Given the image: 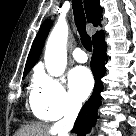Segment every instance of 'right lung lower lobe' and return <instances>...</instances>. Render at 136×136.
<instances>
[{
    "label": "right lung lower lobe",
    "instance_id": "98d812e1",
    "mask_svg": "<svg viewBox=\"0 0 136 136\" xmlns=\"http://www.w3.org/2000/svg\"><path fill=\"white\" fill-rule=\"evenodd\" d=\"M94 50L91 59V68L95 78V87L93 94L89 100L82 107L75 126L72 129L73 133L77 135H85L89 133L91 127L95 124L97 119V110L101 104L102 82L101 78L105 74V63L107 61L106 43L104 36L93 43Z\"/></svg>",
    "mask_w": 136,
    "mask_h": 136
}]
</instances>
